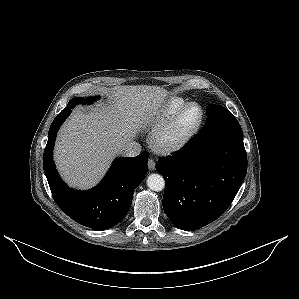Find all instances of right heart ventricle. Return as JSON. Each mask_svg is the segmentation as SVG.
I'll use <instances>...</instances> for the list:
<instances>
[{
  "label": "right heart ventricle",
  "mask_w": 299,
  "mask_h": 299,
  "mask_svg": "<svg viewBox=\"0 0 299 299\" xmlns=\"http://www.w3.org/2000/svg\"><path fill=\"white\" fill-rule=\"evenodd\" d=\"M188 103L182 97H171L169 98L165 104L163 105L162 109L160 110L158 117L156 119V123L159 125L165 119L169 118L172 114H174L178 109Z\"/></svg>",
  "instance_id": "1"
}]
</instances>
